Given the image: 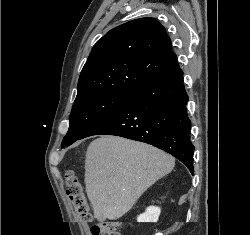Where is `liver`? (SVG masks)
Returning <instances> with one entry per match:
<instances>
[{"instance_id":"1","label":"liver","mask_w":250,"mask_h":235,"mask_svg":"<svg viewBox=\"0 0 250 235\" xmlns=\"http://www.w3.org/2000/svg\"><path fill=\"white\" fill-rule=\"evenodd\" d=\"M174 166L172 156L145 143L117 136L93 140L86 152L85 184L94 217L121 218Z\"/></svg>"}]
</instances>
